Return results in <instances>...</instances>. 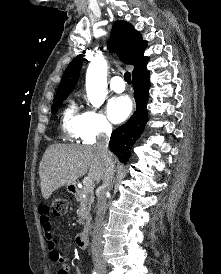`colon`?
I'll use <instances>...</instances> for the list:
<instances>
[{
    "label": "colon",
    "instance_id": "obj_1",
    "mask_svg": "<svg viewBox=\"0 0 221 274\" xmlns=\"http://www.w3.org/2000/svg\"><path fill=\"white\" fill-rule=\"evenodd\" d=\"M67 200L63 197L54 198L51 203L49 210L56 216H60L66 212Z\"/></svg>",
    "mask_w": 221,
    "mask_h": 274
}]
</instances>
